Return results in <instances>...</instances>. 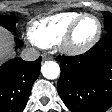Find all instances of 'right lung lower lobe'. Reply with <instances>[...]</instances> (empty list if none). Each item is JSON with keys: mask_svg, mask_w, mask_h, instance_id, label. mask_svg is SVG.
Returning a JSON list of instances; mask_svg holds the SVG:
<instances>
[{"mask_svg": "<svg viewBox=\"0 0 112 112\" xmlns=\"http://www.w3.org/2000/svg\"><path fill=\"white\" fill-rule=\"evenodd\" d=\"M16 44L23 43L16 39ZM41 57L28 62L19 57L0 66V112H22L39 76Z\"/></svg>", "mask_w": 112, "mask_h": 112, "instance_id": "right-lung-lower-lobe-1", "label": "right lung lower lobe"}]
</instances>
